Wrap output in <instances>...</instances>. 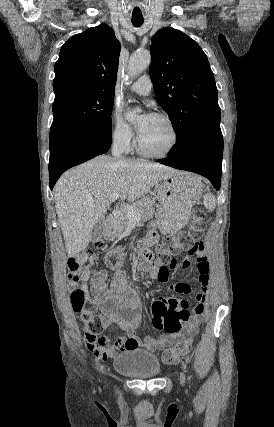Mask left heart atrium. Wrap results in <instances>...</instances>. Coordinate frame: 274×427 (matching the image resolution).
I'll use <instances>...</instances> for the list:
<instances>
[{"label":"left heart atrium","mask_w":274,"mask_h":427,"mask_svg":"<svg viewBox=\"0 0 274 427\" xmlns=\"http://www.w3.org/2000/svg\"><path fill=\"white\" fill-rule=\"evenodd\" d=\"M151 116L152 115L148 114V113H144L141 116L139 122L137 123V125L135 127V129H136V131H137L138 134H140V133L143 132V130L145 129V127H146V125H147V123H148V121H149V119H150Z\"/></svg>","instance_id":"1"}]
</instances>
